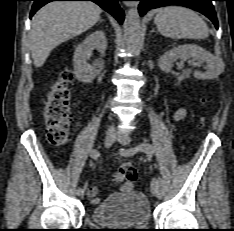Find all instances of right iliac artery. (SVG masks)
I'll return each mask as SVG.
<instances>
[{"instance_id":"1","label":"right iliac artery","mask_w":234,"mask_h":231,"mask_svg":"<svg viewBox=\"0 0 234 231\" xmlns=\"http://www.w3.org/2000/svg\"><path fill=\"white\" fill-rule=\"evenodd\" d=\"M90 156H91V158H93V159L98 158V157H99V151L96 150V149H93V150L90 152ZM86 186H87V184H84L83 188H79V189L77 190V192H84Z\"/></svg>"}]
</instances>
